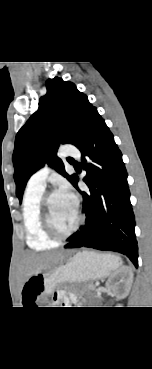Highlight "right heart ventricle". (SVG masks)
I'll list each match as a JSON object with an SVG mask.
<instances>
[{"label":"right heart ventricle","instance_id":"1","mask_svg":"<svg viewBox=\"0 0 152 369\" xmlns=\"http://www.w3.org/2000/svg\"><path fill=\"white\" fill-rule=\"evenodd\" d=\"M43 193V189H32L27 187L23 195V225L27 244L34 250L51 249L58 245V241L51 239L42 226L40 202Z\"/></svg>","mask_w":152,"mask_h":369}]
</instances>
